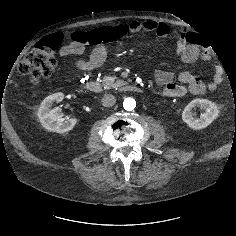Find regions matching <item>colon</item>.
Segmentation results:
<instances>
[{
	"label": "colon",
	"mask_w": 236,
	"mask_h": 236,
	"mask_svg": "<svg viewBox=\"0 0 236 236\" xmlns=\"http://www.w3.org/2000/svg\"><path fill=\"white\" fill-rule=\"evenodd\" d=\"M126 33L125 26L104 27L87 32H75L71 38L76 42L96 48L110 46ZM62 39L63 36L60 33L52 34L43 39L20 62L19 72L33 84H37L42 78L52 75L57 67L54 51L59 47Z\"/></svg>",
	"instance_id": "colon-1"
}]
</instances>
